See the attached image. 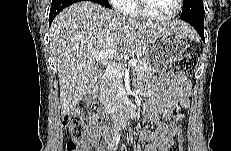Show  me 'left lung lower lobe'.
<instances>
[{"instance_id": "obj_1", "label": "left lung lower lobe", "mask_w": 231, "mask_h": 151, "mask_svg": "<svg viewBox=\"0 0 231 151\" xmlns=\"http://www.w3.org/2000/svg\"><path fill=\"white\" fill-rule=\"evenodd\" d=\"M204 8H196L192 10V12L188 15H181L180 19L188 22L191 24L198 34L200 35L201 39L205 41L204 39Z\"/></svg>"}]
</instances>
